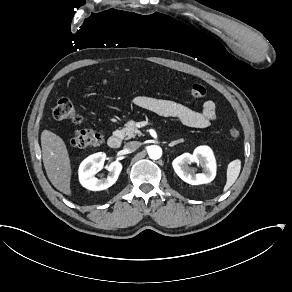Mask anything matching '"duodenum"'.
<instances>
[{
  "label": "duodenum",
  "mask_w": 292,
  "mask_h": 292,
  "mask_svg": "<svg viewBox=\"0 0 292 292\" xmlns=\"http://www.w3.org/2000/svg\"><path fill=\"white\" fill-rule=\"evenodd\" d=\"M122 140L119 134H113L108 139V145L112 149H118L121 146Z\"/></svg>",
  "instance_id": "duodenum-1"
}]
</instances>
